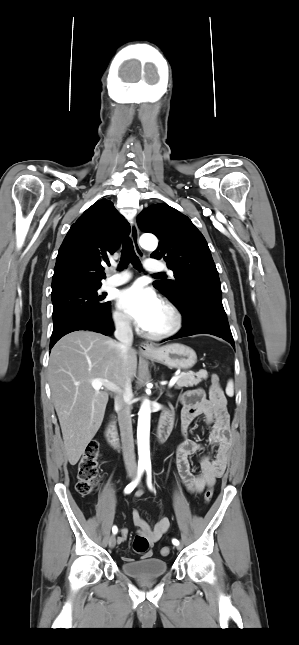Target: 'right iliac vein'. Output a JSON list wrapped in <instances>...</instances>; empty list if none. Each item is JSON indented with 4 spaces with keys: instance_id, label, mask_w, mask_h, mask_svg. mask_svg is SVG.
Returning <instances> with one entry per match:
<instances>
[{
    "instance_id": "1",
    "label": "right iliac vein",
    "mask_w": 299,
    "mask_h": 645,
    "mask_svg": "<svg viewBox=\"0 0 299 645\" xmlns=\"http://www.w3.org/2000/svg\"><path fill=\"white\" fill-rule=\"evenodd\" d=\"M131 477H132V476H131ZM115 545H116V537H115L114 535H112V536L109 538V547H110V548H114V547H115Z\"/></svg>"
}]
</instances>
